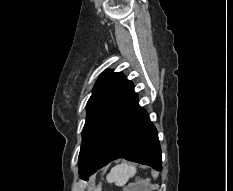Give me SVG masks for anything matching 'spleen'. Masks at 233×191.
Wrapping results in <instances>:
<instances>
[{
	"instance_id": "3e777b00",
	"label": "spleen",
	"mask_w": 233,
	"mask_h": 191,
	"mask_svg": "<svg viewBox=\"0 0 233 191\" xmlns=\"http://www.w3.org/2000/svg\"><path fill=\"white\" fill-rule=\"evenodd\" d=\"M136 173L135 166L128 164H120L112 168L111 172L107 176L109 183H115L117 186H124L129 178Z\"/></svg>"
}]
</instances>
